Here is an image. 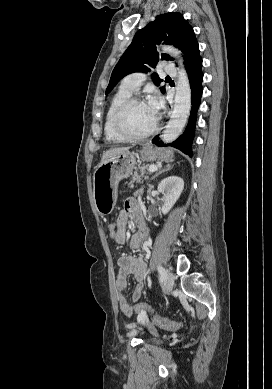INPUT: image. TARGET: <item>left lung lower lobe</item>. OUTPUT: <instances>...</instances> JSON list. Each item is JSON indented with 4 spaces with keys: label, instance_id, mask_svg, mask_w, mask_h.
<instances>
[{
    "label": "left lung lower lobe",
    "instance_id": "1",
    "mask_svg": "<svg viewBox=\"0 0 272 389\" xmlns=\"http://www.w3.org/2000/svg\"><path fill=\"white\" fill-rule=\"evenodd\" d=\"M186 71L188 73V77L190 80L189 82H190L191 93H192L191 96L192 108H191L190 118L184 133L177 140H175L169 145L181 150L185 154L192 155L191 144L194 137L197 110L200 105L202 91H203L202 58L200 56L199 46H197L194 49L191 56L189 57L186 63ZM152 143L161 147L167 146L160 141L159 135L153 139Z\"/></svg>",
    "mask_w": 272,
    "mask_h": 389
}]
</instances>
